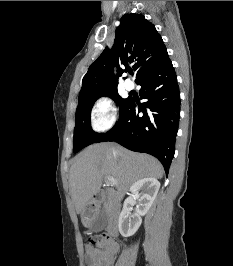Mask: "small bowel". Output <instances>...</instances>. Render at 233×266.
<instances>
[{
    "label": "small bowel",
    "instance_id": "c3829d8e",
    "mask_svg": "<svg viewBox=\"0 0 233 266\" xmlns=\"http://www.w3.org/2000/svg\"><path fill=\"white\" fill-rule=\"evenodd\" d=\"M118 244L108 238L98 247L88 245L86 247V262L88 266H113Z\"/></svg>",
    "mask_w": 233,
    "mask_h": 266
}]
</instances>
